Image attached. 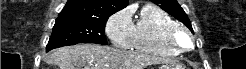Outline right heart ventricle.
I'll return each mask as SVG.
<instances>
[{
  "mask_svg": "<svg viewBox=\"0 0 246 69\" xmlns=\"http://www.w3.org/2000/svg\"><path fill=\"white\" fill-rule=\"evenodd\" d=\"M174 24V19L163 9L143 6L133 23L130 48L161 57L177 55L178 51L166 38V30Z\"/></svg>",
  "mask_w": 246,
  "mask_h": 69,
  "instance_id": "e07e8e85",
  "label": "right heart ventricle"
}]
</instances>
